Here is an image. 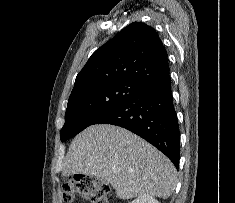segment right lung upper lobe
I'll return each instance as SVG.
<instances>
[{
  "mask_svg": "<svg viewBox=\"0 0 235 203\" xmlns=\"http://www.w3.org/2000/svg\"><path fill=\"white\" fill-rule=\"evenodd\" d=\"M169 72L157 32L134 22L97 49L78 73L72 92L92 84L125 80L146 84Z\"/></svg>",
  "mask_w": 235,
  "mask_h": 203,
  "instance_id": "right-lung-upper-lobe-1",
  "label": "right lung upper lobe"
}]
</instances>
